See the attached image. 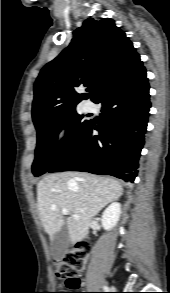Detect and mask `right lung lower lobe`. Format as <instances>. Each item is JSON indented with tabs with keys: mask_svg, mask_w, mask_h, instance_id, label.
<instances>
[{
	"mask_svg": "<svg viewBox=\"0 0 170 293\" xmlns=\"http://www.w3.org/2000/svg\"><path fill=\"white\" fill-rule=\"evenodd\" d=\"M149 97L144 67L106 88L95 101L102 104L100 123L88 121L48 172L83 171L133 182L144 145ZM94 130L98 136H93Z\"/></svg>",
	"mask_w": 170,
	"mask_h": 293,
	"instance_id": "obj_1",
	"label": "right lung lower lobe"
}]
</instances>
